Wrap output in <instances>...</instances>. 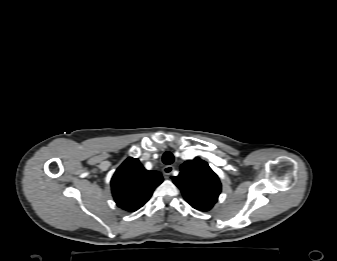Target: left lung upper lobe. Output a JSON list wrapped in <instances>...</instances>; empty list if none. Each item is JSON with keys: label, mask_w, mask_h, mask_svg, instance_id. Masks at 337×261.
I'll use <instances>...</instances> for the list:
<instances>
[{"label": "left lung upper lobe", "mask_w": 337, "mask_h": 261, "mask_svg": "<svg viewBox=\"0 0 337 261\" xmlns=\"http://www.w3.org/2000/svg\"><path fill=\"white\" fill-rule=\"evenodd\" d=\"M180 170V174L172 179L184 199L197 210L209 211L221 192L218 176L199 157L183 163Z\"/></svg>", "instance_id": "5c2ea615"}]
</instances>
